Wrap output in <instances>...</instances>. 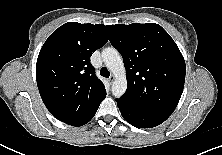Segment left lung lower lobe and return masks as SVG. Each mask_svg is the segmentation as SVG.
<instances>
[{"instance_id":"0a47b994","label":"left lung lower lobe","mask_w":222,"mask_h":155,"mask_svg":"<svg viewBox=\"0 0 222 155\" xmlns=\"http://www.w3.org/2000/svg\"><path fill=\"white\" fill-rule=\"evenodd\" d=\"M116 102L123 118L138 128L155 127L169 117L168 115L138 108L122 99H116Z\"/></svg>"}]
</instances>
